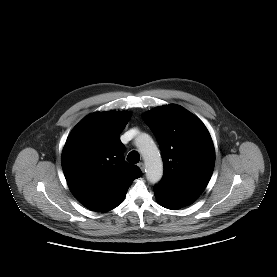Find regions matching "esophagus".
I'll return each instance as SVG.
<instances>
[{
  "label": "esophagus",
  "mask_w": 277,
  "mask_h": 277,
  "mask_svg": "<svg viewBox=\"0 0 277 277\" xmlns=\"http://www.w3.org/2000/svg\"><path fill=\"white\" fill-rule=\"evenodd\" d=\"M138 166H139V168L141 169V171L144 172V170H145V165H144V163H143V162H140V163L138 164Z\"/></svg>",
  "instance_id": "esophagus-1"
}]
</instances>
